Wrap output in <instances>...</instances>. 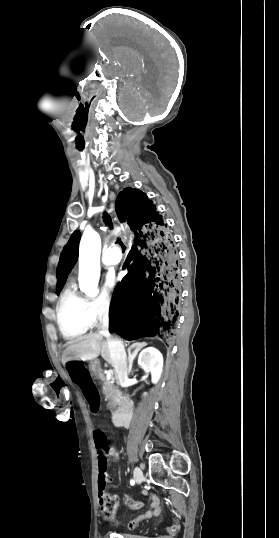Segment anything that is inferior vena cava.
<instances>
[{
  "label": "inferior vena cava",
  "mask_w": 279,
  "mask_h": 538,
  "mask_svg": "<svg viewBox=\"0 0 279 538\" xmlns=\"http://www.w3.org/2000/svg\"><path fill=\"white\" fill-rule=\"evenodd\" d=\"M98 318L103 324H99V329L101 328V334L105 335L107 338V344L110 351V356L113 361L112 366L115 367L114 372L118 374L120 385H128L127 381V363H126V352L124 349L123 341L120 339V335H110L108 331V310H101L99 312Z\"/></svg>",
  "instance_id": "602c4592"
}]
</instances>
